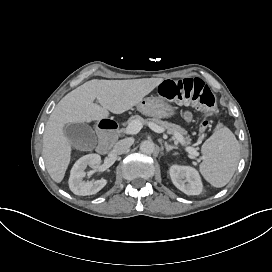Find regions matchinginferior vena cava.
<instances>
[{
	"instance_id": "obj_1",
	"label": "inferior vena cava",
	"mask_w": 272,
	"mask_h": 272,
	"mask_svg": "<svg viewBox=\"0 0 272 272\" xmlns=\"http://www.w3.org/2000/svg\"><path fill=\"white\" fill-rule=\"evenodd\" d=\"M130 148V144L126 140L118 141L115 146L113 147V151L116 154H123L126 153Z\"/></svg>"
}]
</instances>
